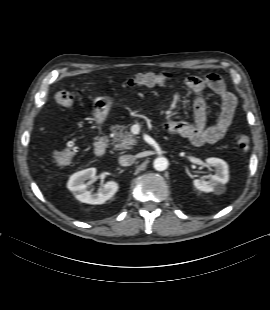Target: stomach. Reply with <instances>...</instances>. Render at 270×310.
Wrapping results in <instances>:
<instances>
[{
    "label": "stomach",
    "mask_w": 270,
    "mask_h": 310,
    "mask_svg": "<svg viewBox=\"0 0 270 310\" xmlns=\"http://www.w3.org/2000/svg\"><path fill=\"white\" fill-rule=\"evenodd\" d=\"M113 105L114 100L109 96H100L94 99L92 104V111L94 119L98 124L104 122Z\"/></svg>",
    "instance_id": "0dacf381"
}]
</instances>
